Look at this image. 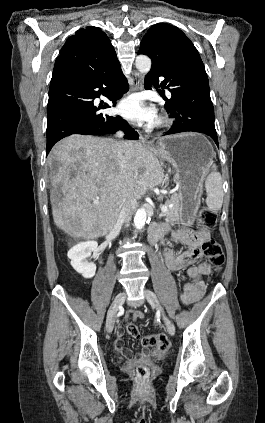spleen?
<instances>
[{"instance_id": "spleen-1", "label": "spleen", "mask_w": 265, "mask_h": 423, "mask_svg": "<svg viewBox=\"0 0 265 423\" xmlns=\"http://www.w3.org/2000/svg\"><path fill=\"white\" fill-rule=\"evenodd\" d=\"M212 168L213 171L205 180L206 204L211 211L216 212L221 209L223 203L222 177L215 164Z\"/></svg>"}]
</instances>
